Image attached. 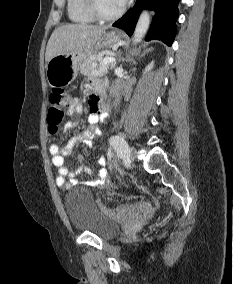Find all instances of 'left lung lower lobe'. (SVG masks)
Wrapping results in <instances>:
<instances>
[{
  "label": "left lung lower lobe",
  "mask_w": 233,
  "mask_h": 284,
  "mask_svg": "<svg viewBox=\"0 0 233 284\" xmlns=\"http://www.w3.org/2000/svg\"><path fill=\"white\" fill-rule=\"evenodd\" d=\"M179 0H137L136 4L122 18L113 24L131 36L138 16L144 8L153 9L156 15L145 40L158 39L171 46L176 35L175 21L178 18Z\"/></svg>",
  "instance_id": "0a47b994"
}]
</instances>
